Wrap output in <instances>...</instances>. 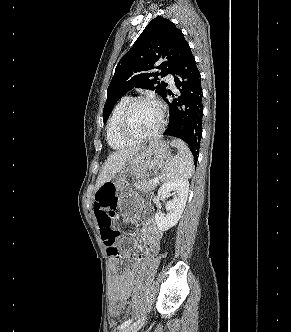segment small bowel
I'll use <instances>...</instances> for the list:
<instances>
[{"label":"small bowel","mask_w":291,"mask_h":332,"mask_svg":"<svg viewBox=\"0 0 291 332\" xmlns=\"http://www.w3.org/2000/svg\"><path fill=\"white\" fill-rule=\"evenodd\" d=\"M103 190H114L113 185L110 182L103 183L98 188L95 199L98 193ZM94 213L96 214L95 200H94ZM139 237L141 238L142 246L141 252L132 257L131 252L125 247L127 243L131 241V238H125L122 242V250L118 255L120 259H132L133 265H131L124 275L115 276L111 286V298L113 301L120 304H124L131 296L136 283V265L142 262L149 256L156 254L159 251L160 241L162 238L161 232L156 227L152 220H147L141 230L139 231ZM117 258V259H118Z\"/></svg>","instance_id":"1"}]
</instances>
